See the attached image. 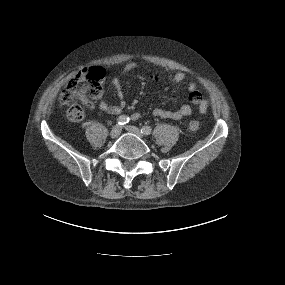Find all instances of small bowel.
<instances>
[{
  "label": "small bowel",
  "mask_w": 285,
  "mask_h": 285,
  "mask_svg": "<svg viewBox=\"0 0 285 285\" xmlns=\"http://www.w3.org/2000/svg\"><path fill=\"white\" fill-rule=\"evenodd\" d=\"M137 65L138 64L136 62L127 63L122 70V75L123 76L128 75L131 71H133L137 67ZM152 78L155 80L160 79L158 75H153ZM167 78L171 83L174 84H182L186 81V75L183 72L169 73L167 75ZM112 85L114 86L117 92V96L119 97V99H121V102L117 105H112L105 101H101L99 104V108L103 112L108 113L110 115H118L125 107V102L123 101L124 93L121 87L120 79L118 77L112 78ZM187 90L189 93V101L197 105L201 113H205L208 107V103L205 99L202 98L201 93L197 88L195 82L193 81L188 82ZM191 113H192V108L189 104H184L176 110H165L162 108H155L153 110V115L155 117L170 119V120H180L184 117L191 115ZM139 117L140 115L138 113H134L132 115V118L134 120L138 119Z\"/></svg>",
  "instance_id": "obj_1"
}]
</instances>
